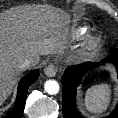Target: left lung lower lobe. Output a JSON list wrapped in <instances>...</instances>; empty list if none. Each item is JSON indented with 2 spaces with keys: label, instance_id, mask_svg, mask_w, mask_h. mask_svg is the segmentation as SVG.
I'll return each mask as SVG.
<instances>
[{
  "label": "left lung lower lobe",
  "instance_id": "obj_1",
  "mask_svg": "<svg viewBox=\"0 0 118 118\" xmlns=\"http://www.w3.org/2000/svg\"><path fill=\"white\" fill-rule=\"evenodd\" d=\"M110 62L115 65L118 70V54L107 57L99 63H83L68 67L61 79L63 84V116L64 118H84L76 108V91L82 81L84 75L95 66ZM105 118H118V103L113 112Z\"/></svg>",
  "mask_w": 118,
  "mask_h": 118
}]
</instances>
